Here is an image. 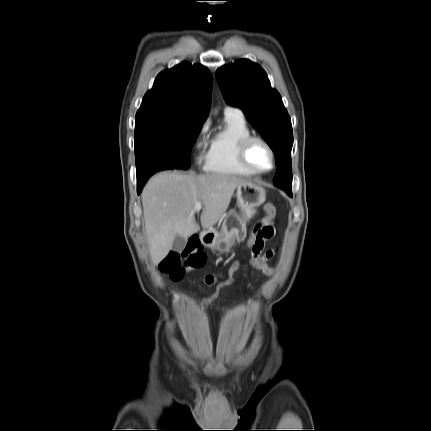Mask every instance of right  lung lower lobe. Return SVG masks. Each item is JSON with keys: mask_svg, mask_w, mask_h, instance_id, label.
Masks as SVG:
<instances>
[{"mask_svg": "<svg viewBox=\"0 0 431 431\" xmlns=\"http://www.w3.org/2000/svg\"><path fill=\"white\" fill-rule=\"evenodd\" d=\"M160 171L159 167H155L149 171H146L144 173H137V179H138V193L141 192L143 186L145 185L148 178L154 174L155 172Z\"/></svg>", "mask_w": 431, "mask_h": 431, "instance_id": "right-lung-lower-lobe-1", "label": "right lung lower lobe"}]
</instances>
